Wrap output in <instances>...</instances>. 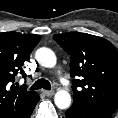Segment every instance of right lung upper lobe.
<instances>
[{"mask_svg":"<svg viewBox=\"0 0 118 118\" xmlns=\"http://www.w3.org/2000/svg\"><path fill=\"white\" fill-rule=\"evenodd\" d=\"M39 35L0 33V118H25L39 101L35 91L15 86V75L26 76L23 63L40 41Z\"/></svg>","mask_w":118,"mask_h":118,"instance_id":"cb5924a9","label":"right lung upper lobe"}]
</instances>
